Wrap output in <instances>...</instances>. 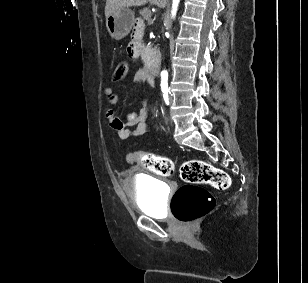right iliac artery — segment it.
Instances as JSON below:
<instances>
[{"label":"right iliac artery","instance_id":"obj_1","mask_svg":"<svg viewBox=\"0 0 308 283\" xmlns=\"http://www.w3.org/2000/svg\"><path fill=\"white\" fill-rule=\"evenodd\" d=\"M164 100H165L166 104L168 105L169 104L168 95H164Z\"/></svg>","mask_w":308,"mask_h":283}]
</instances>
